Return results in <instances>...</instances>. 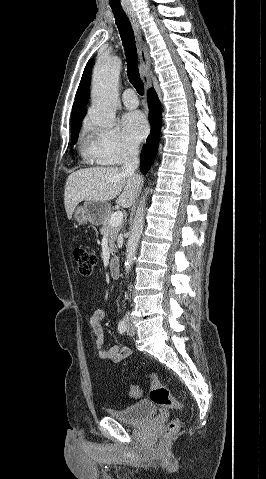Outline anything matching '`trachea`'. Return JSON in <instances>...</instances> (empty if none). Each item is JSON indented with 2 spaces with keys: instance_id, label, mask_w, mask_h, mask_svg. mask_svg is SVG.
Segmentation results:
<instances>
[{
  "instance_id": "1",
  "label": "trachea",
  "mask_w": 266,
  "mask_h": 479,
  "mask_svg": "<svg viewBox=\"0 0 266 479\" xmlns=\"http://www.w3.org/2000/svg\"><path fill=\"white\" fill-rule=\"evenodd\" d=\"M112 12L115 17L116 25L119 29L126 55L128 79L138 94L143 96L144 84L139 75L137 48L131 23L122 9L112 8Z\"/></svg>"
}]
</instances>
